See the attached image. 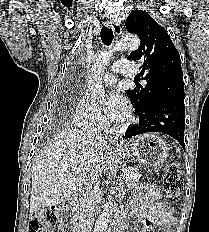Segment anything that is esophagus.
I'll list each match as a JSON object with an SVG mask.
<instances>
[{
  "mask_svg": "<svg viewBox=\"0 0 209 232\" xmlns=\"http://www.w3.org/2000/svg\"><path fill=\"white\" fill-rule=\"evenodd\" d=\"M107 25L113 30L116 36L119 37L122 34V29L118 23L114 21H108Z\"/></svg>",
  "mask_w": 209,
  "mask_h": 232,
  "instance_id": "obj_1",
  "label": "esophagus"
}]
</instances>
